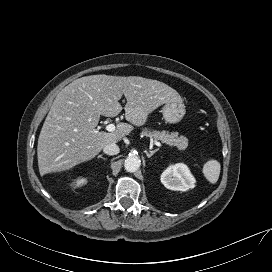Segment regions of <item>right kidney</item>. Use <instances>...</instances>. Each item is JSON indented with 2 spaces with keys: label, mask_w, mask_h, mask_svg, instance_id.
<instances>
[{
  "label": "right kidney",
  "mask_w": 272,
  "mask_h": 272,
  "mask_svg": "<svg viewBox=\"0 0 272 272\" xmlns=\"http://www.w3.org/2000/svg\"><path fill=\"white\" fill-rule=\"evenodd\" d=\"M87 183V179L86 178H77L76 180H75V182H74V185L76 186V187H79V186H82V185H84V184H86Z\"/></svg>",
  "instance_id": "1"
}]
</instances>
